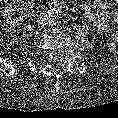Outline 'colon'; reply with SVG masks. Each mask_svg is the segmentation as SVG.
Here are the masks:
<instances>
[{"mask_svg":"<svg viewBox=\"0 0 118 118\" xmlns=\"http://www.w3.org/2000/svg\"><path fill=\"white\" fill-rule=\"evenodd\" d=\"M4 10L0 19L3 25H9L14 20L27 16L30 11L29 0H5Z\"/></svg>","mask_w":118,"mask_h":118,"instance_id":"5ec220e1","label":"colon"}]
</instances>
